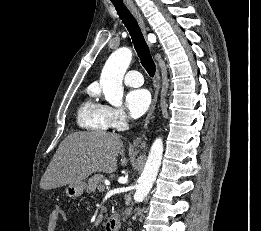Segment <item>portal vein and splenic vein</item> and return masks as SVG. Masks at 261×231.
I'll return each instance as SVG.
<instances>
[{"label": "portal vein and splenic vein", "instance_id": "18ae733b", "mask_svg": "<svg viewBox=\"0 0 261 231\" xmlns=\"http://www.w3.org/2000/svg\"><path fill=\"white\" fill-rule=\"evenodd\" d=\"M98 190L104 191L105 190V186L104 187H100Z\"/></svg>", "mask_w": 261, "mask_h": 231}]
</instances>
